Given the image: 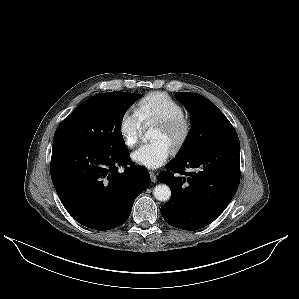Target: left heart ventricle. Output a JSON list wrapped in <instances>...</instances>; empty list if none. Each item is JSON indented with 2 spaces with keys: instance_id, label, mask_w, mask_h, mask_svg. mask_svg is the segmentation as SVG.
I'll list each match as a JSON object with an SVG mask.
<instances>
[{
  "instance_id": "left-heart-ventricle-1",
  "label": "left heart ventricle",
  "mask_w": 299,
  "mask_h": 299,
  "mask_svg": "<svg viewBox=\"0 0 299 299\" xmlns=\"http://www.w3.org/2000/svg\"><path fill=\"white\" fill-rule=\"evenodd\" d=\"M177 136V133H168L159 126H157L152 139L154 141L163 140L171 147L173 142L176 140Z\"/></svg>"
}]
</instances>
